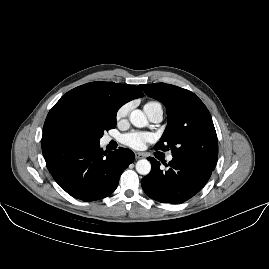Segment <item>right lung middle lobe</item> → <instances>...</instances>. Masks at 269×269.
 <instances>
[{"label": "right lung middle lobe", "instance_id": "1", "mask_svg": "<svg viewBox=\"0 0 269 269\" xmlns=\"http://www.w3.org/2000/svg\"><path fill=\"white\" fill-rule=\"evenodd\" d=\"M115 127L116 111L105 109H65L51 120L53 133L67 135L81 144L99 143L104 131Z\"/></svg>", "mask_w": 269, "mask_h": 269}]
</instances>
